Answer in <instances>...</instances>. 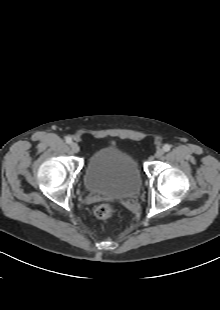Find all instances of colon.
<instances>
[{
  "label": "colon",
  "instance_id": "obj_1",
  "mask_svg": "<svg viewBox=\"0 0 220 310\" xmlns=\"http://www.w3.org/2000/svg\"><path fill=\"white\" fill-rule=\"evenodd\" d=\"M115 213V208L111 204H101L95 209V216L98 219H108Z\"/></svg>",
  "mask_w": 220,
  "mask_h": 310
}]
</instances>
